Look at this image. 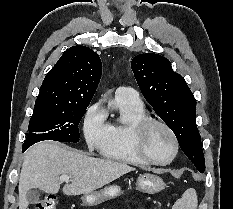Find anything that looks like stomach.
Segmentation results:
<instances>
[{"label": "stomach", "mask_w": 233, "mask_h": 209, "mask_svg": "<svg viewBox=\"0 0 233 209\" xmlns=\"http://www.w3.org/2000/svg\"><path fill=\"white\" fill-rule=\"evenodd\" d=\"M164 181L155 174H140L137 179V189L148 194L160 192L164 188ZM121 194L117 185H110L100 191L83 194L82 202L85 206H97L107 200L113 199Z\"/></svg>", "instance_id": "0dacf381"}]
</instances>
